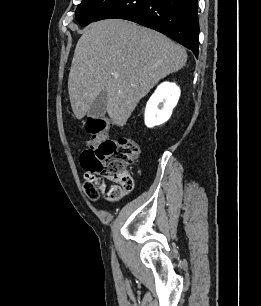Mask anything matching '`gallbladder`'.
<instances>
[{
  "instance_id": "1",
  "label": "gallbladder",
  "mask_w": 261,
  "mask_h": 306,
  "mask_svg": "<svg viewBox=\"0 0 261 306\" xmlns=\"http://www.w3.org/2000/svg\"><path fill=\"white\" fill-rule=\"evenodd\" d=\"M107 104V92L105 90L101 91L99 95L95 98L91 104L88 114L92 118L100 119L105 115Z\"/></svg>"
}]
</instances>
